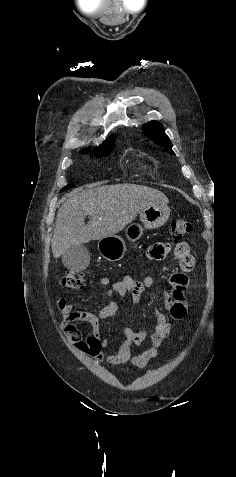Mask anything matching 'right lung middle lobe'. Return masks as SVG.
<instances>
[{
    "instance_id": "1",
    "label": "right lung middle lobe",
    "mask_w": 236,
    "mask_h": 477,
    "mask_svg": "<svg viewBox=\"0 0 236 477\" xmlns=\"http://www.w3.org/2000/svg\"><path fill=\"white\" fill-rule=\"evenodd\" d=\"M111 151H112V149H107V150H102V151L96 152L95 154H96L97 157H104V156L109 155L111 153ZM71 186H73V184H68L65 187H63L61 191L69 189Z\"/></svg>"
}]
</instances>
